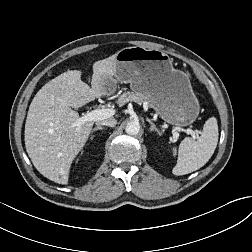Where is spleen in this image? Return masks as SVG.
I'll use <instances>...</instances> for the list:
<instances>
[{
	"mask_svg": "<svg viewBox=\"0 0 252 252\" xmlns=\"http://www.w3.org/2000/svg\"><path fill=\"white\" fill-rule=\"evenodd\" d=\"M218 124L215 117L209 118L198 140L185 138L178 151L173 148V155L178 154L177 164L173 168L174 175H185L203 167L212 157L218 143Z\"/></svg>",
	"mask_w": 252,
	"mask_h": 252,
	"instance_id": "1",
	"label": "spleen"
}]
</instances>
